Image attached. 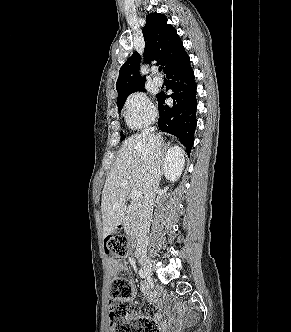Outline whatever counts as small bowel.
<instances>
[{"label": "small bowel", "mask_w": 291, "mask_h": 332, "mask_svg": "<svg viewBox=\"0 0 291 332\" xmlns=\"http://www.w3.org/2000/svg\"><path fill=\"white\" fill-rule=\"evenodd\" d=\"M109 266H110L109 273L112 277H116L120 272H122L126 269V265H125L124 261H122L120 259H114V258L110 259ZM142 289L145 293H147L149 295L151 301H153L155 303L158 302V295L154 292H150L147 284L143 283ZM160 319H161L160 315L154 316L155 321H159ZM175 325H176V323L174 321L170 323V326H172V327H174Z\"/></svg>", "instance_id": "c3829d8e"}]
</instances>
